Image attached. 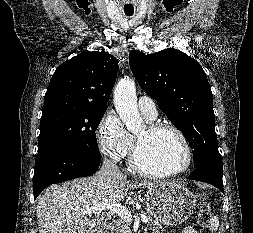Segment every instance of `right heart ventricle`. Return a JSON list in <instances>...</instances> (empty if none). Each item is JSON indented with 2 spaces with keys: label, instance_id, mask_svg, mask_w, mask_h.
<instances>
[{
  "label": "right heart ventricle",
  "instance_id": "e07e8e85",
  "mask_svg": "<svg viewBox=\"0 0 253 233\" xmlns=\"http://www.w3.org/2000/svg\"><path fill=\"white\" fill-rule=\"evenodd\" d=\"M149 122H152L153 120H150V119H147ZM133 146H134V139L132 137V146L130 148V150L128 151L127 155H128V163L129 165L132 167V163H131V153H132V150H133Z\"/></svg>",
  "mask_w": 253,
  "mask_h": 233
}]
</instances>
